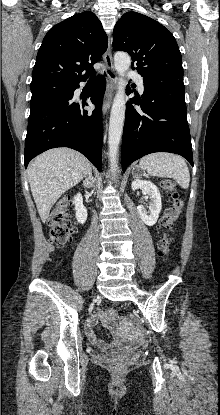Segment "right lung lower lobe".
Masks as SVG:
<instances>
[{"instance_id": "obj_1", "label": "right lung lower lobe", "mask_w": 220, "mask_h": 415, "mask_svg": "<svg viewBox=\"0 0 220 415\" xmlns=\"http://www.w3.org/2000/svg\"><path fill=\"white\" fill-rule=\"evenodd\" d=\"M78 87L79 82L74 83L66 95L31 108L25 139V168L38 154L65 146L84 154L101 171L102 100L106 79L99 75L88 93V98L96 106L92 113L82 109L87 105L86 98L82 102L73 98Z\"/></svg>"}]
</instances>
